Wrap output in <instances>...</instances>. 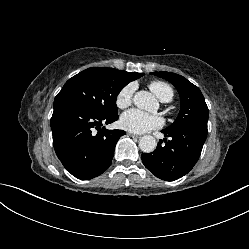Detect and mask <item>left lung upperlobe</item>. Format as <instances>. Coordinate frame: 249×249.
<instances>
[{
  "label": "left lung upper lobe",
  "instance_id": "5c2ea615",
  "mask_svg": "<svg viewBox=\"0 0 249 249\" xmlns=\"http://www.w3.org/2000/svg\"><path fill=\"white\" fill-rule=\"evenodd\" d=\"M151 74L171 82L180 94L181 105L178 117L164 131H174L197 122L207 123L209 110L197 86L175 73L160 71Z\"/></svg>",
  "mask_w": 249,
  "mask_h": 249
}]
</instances>
